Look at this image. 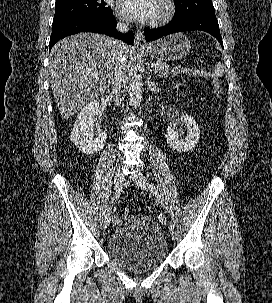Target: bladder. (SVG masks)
<instances>
[{
    "instance_id": "bladder-1",
    "label": "bladder",
    "mask_w": 272,
    "mask_h": 303,
    "mask_svg": "<svg viewBox=\"0 0 272 303\" xmlns=\"http://www.w3.org/2000/svg\"><path fill=\"white\" fill-rule=\"evenodd\" d=\"M106 253L110 260L131 271H146L160 266L167 257V242L162 228L151 218L130 215L110 234Z\"/></svg>"
}]
</instances>
